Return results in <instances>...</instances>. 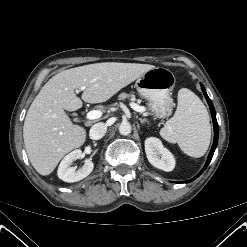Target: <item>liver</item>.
<instances>
[{"instance_id":"6515ba94","label":"liver","mask_w":247,"mask_h":247,"mask_svg":"<svg viewBox=\"0 0 247 247\" xmlns=\"http://www.w3.org/2000/svg\"><path fill=\"white\" fill-rule=\"evenodd\" d=\"M149 64L104 62L64 70L53 76L33 100L23 126L28 158L35 170L49 175L71 150L82 146L86 130L73 125L67 111L83 105L74 89H83L82 100L103 103L145 72Z\"/></svg>"}]
</instances>
